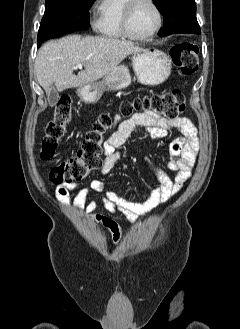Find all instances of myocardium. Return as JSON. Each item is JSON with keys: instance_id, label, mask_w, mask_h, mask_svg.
Listing matches in <instances>:
<instances>
[{"instance_id": "myocardium-1", "label": "myocardium", "mask_w": 240, "mask_h": 329, "mask_svg": "<svg viewBox=\"0 0 240 329\" xmlns=\"http://www.w3.org/2000/svg\"><path fill=\"white\" fill-rule=\"evenodd\" d=\"M141 1H145V2L149 3L154 8V10L157 14V25L154 28V30L147 35H137L132 32L131 27H130V19H131L132 11H133L135 5ZM163 21H164V16H163L162 10L160 9V7L158 6V4L156 3L155 0H127V3L123 10V15H122V29H123L124 34L128 38L133 39V40L145 41V40L152 39L153 37H155L158 34V32L161 30V28L163 26Z\"/></svg>"}]
</instances>
